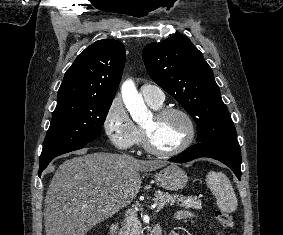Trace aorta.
I'll return each instance as SVG.
<instances>
[{
	"label": "aorta",
	"instance_id": "obj_1",
	"mask_svg": "<svg viewBox=\"0 0 283 235\" xmlns=\"http://www.w3.org/2000/svg\"><path fill=\"white\" fill-rule=\"evenodd\" d=\"M121 94L125 107L134 121L140 122L149 116L150 112L132 81H126L122 85Z\"/></svg>",
	"mask_w": 283,
	"mask_h": 235
}]
</instances>
